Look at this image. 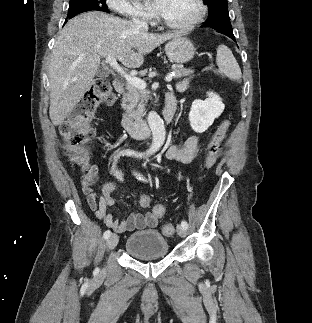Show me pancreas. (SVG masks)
Instances as JSON below:
<instances>
[{"instance_id": "cf45deb5", "label": "pancreas", "mask_w": 312, "mask_h": 323, "mask_svg": "<svg viewBox=\"0 0 312 323\" xmlns=\"http://www.w3.org/2000/svg\"><path fill=\"white\" fill-rule=\"evenodd\" d=\"M175 76L173 78H185V76H191L194 70H185V68H173ZM125 90L126 94H123L122 98V108L126 110L130 118L134 120H141L144 116L145 106L149 100L148 90H141V88H135L131 84H126Z\"/></svg>"}]
</instances>
